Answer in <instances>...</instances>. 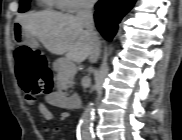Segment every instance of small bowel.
<instances>
[{"instance_id": "c3829d8e", "label": "small bowel", "mask_w": 182, "mask_h": 140, "mask_svg": "<svg viewBox=\"0 0 182 140\" xmlns=\"http://www.w3.org/2000/svg\"><path fill=\"white\" fill-rule=\"evenodd\" d=\"M38 111L41 114L42 118L46 121L52 120L53 115L50 109L45 104H40L38 106ZM47 131H50L48 128H45ZM59 134V129H53L51 131V140H55Z\"/></svg>"}]
</instances>
